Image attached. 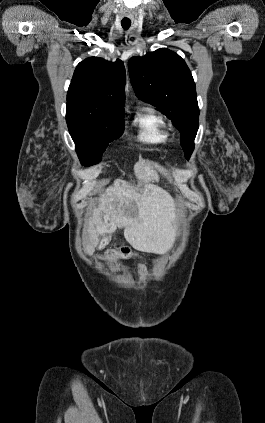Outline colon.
<instances>
[{
	"label": "colon",
	"mask_w": 265,
	"mask_h": 423,
	"mask_svg": "<svg viewBox=\"0 0 265 423\" xmlns=\"http://www.w3.org/2000/svg\"><path fill=\"white\" fill-rule=\"evenodd\" d=\"M135 253L131 250V248L127 246H122L118 249H111L108 250L104 255L103 258L106 261H113L117 258H131L134 257Z\"/></svg>",
	"instance_id": "5ec220e1"
}]
</instances>
